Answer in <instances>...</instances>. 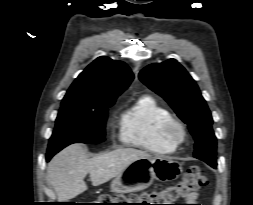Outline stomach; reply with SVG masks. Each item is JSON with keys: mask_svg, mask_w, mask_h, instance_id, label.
<instances>
[{"mask_svg": "<svg viewBox=\"0 0 253 205\" xmlns=\"http://www.w3.org/2000/svg\"><path fill=\"white\" fill-rule=\"evenodd\" d=\"M182 172L181 164L170 158L155 156L133 161L111 183L114 193H131L148 188L157 179L172 181Z\"/></svg>", "mask_w": 253, "mask_h": 205, "instance_id": "1", "label": "stomach"}]
</instances>
